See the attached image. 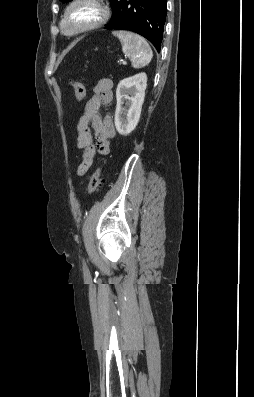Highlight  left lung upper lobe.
<instances>
[{
  "mask_svg": "<svg viewBox=\"0 0 254 397\" xmlns=\"http://www.w3.org/2000/svg\"><path fill=\"white\" fill-rule=\"evenodd\" d=\"M60 1H62L63 3H66V2H69V1H71V0H60ZM110 1V3L113 1V0H109Z\"/></svg>",
  "mask_w": 254,
  "mask_h": 397,
  "instance_id": "5c2ea615",
  "label": "left lung upper lobe"
}]
</instances>
